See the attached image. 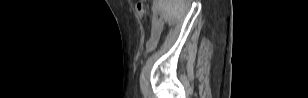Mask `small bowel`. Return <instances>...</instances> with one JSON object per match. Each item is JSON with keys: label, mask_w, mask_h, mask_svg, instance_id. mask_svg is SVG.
Instances as JSON below:
<instances>
[{"label": "small bowel", "mask_w": 308, "mask_h": 98, "mask_svg": "<svg viewBox=\"0 0 308 98\" xmlns=\"http://www.w3.org/2000/svg\"><path fill=\"white\" fill-rule=\"evenodd\" d=\"M161 31H162L161 28L153 27L151 37L147 43V48L149 51H152L155 49L156 44L159 40Z\"/></svg>", "instance_id": "1"}]
</instances>
